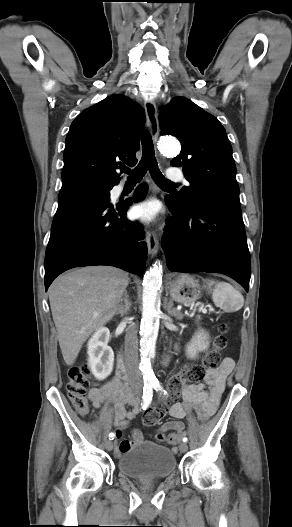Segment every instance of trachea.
<instances>
[{
	"mask_svg": "<svg viewBox=\"0 0 292 527\" xmlns=\"http://www.w3.org/2000/svg\"><path fill=\"white\" fill-rule=\"evenodd\" d=\"M154 147L151 136L145 133L142 138V157L139 164L133 169L123 168L122 170L129 175L128 180L140 181L149 169L154 181L159 186H174L175 183L166 179L158 168L155 159Z\"/></svg>",
	"mask_w": 292,
	"mask_h": 527,
	"instance_id": "3493384b",
	"label": "trachea"
}]
</instances>
